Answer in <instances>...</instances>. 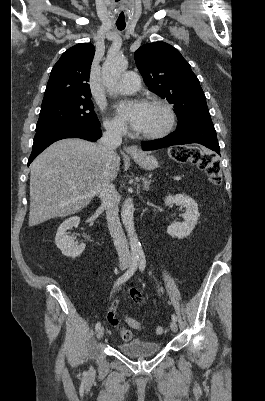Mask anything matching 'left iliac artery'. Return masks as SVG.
<instances>
[{"label": "left iliac artery", "instance_id": "left-iliac-artery-1", "mask_svg": "<svg viewBox=\"0 0 265 401\" xmlns=\"http://www.w3.org/2000/svg\"><path fill=\"white\" fill-rule=\"evenodd\" d=\"M139 261H140V263H139V269H140L141 271H144L145 266H146V258H145V256H144V255H140ZM172 320H173V321H177V316H176L175 314H172Z\"/></svg>", "mask_w": 265, "mask_h": 401}]
</instances>
